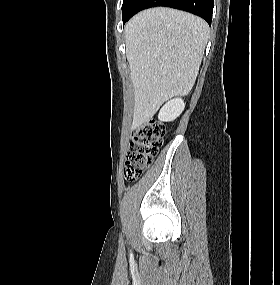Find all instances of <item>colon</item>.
Returning <instances> with one entry per match:
<instances>
[{
	"label": "colon",
	"instance_id": "5ec220e1",
	"mask_svg": "<svg viewBox=\"0 0 280 285\" xmlns=\"http://www.w3.org/2000/svg\"><path fill=\"white\" fill-rule=\"evenodd\" d=\"M165 129L159 122L149 121L139 125L133 133L125 162V179L138 180L151 165L163 144Z\"/></svg>",
	"mask_w": 280,
	"mask_h": 285
}]
</instances>
